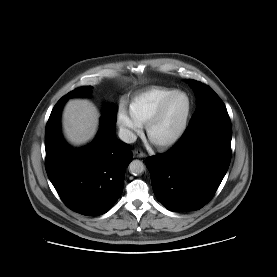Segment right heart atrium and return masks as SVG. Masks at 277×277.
<instances>
[{"instance_id":"obj_1","label":"right heart atrium","mask_w":277,"mask_h":277,"mask_svg":"<svg viewBox=\"0 0 277 277\" xmlns=\"http://www.w3.org/2000/svg\"><path fill=\"white\" fill-rule=\"evenodd\" d=\"M117 124L123 137L128 141L133 140L142 128V125L131 116L124 104H120L118 107Z\"/></svg>"}]
</instances>
